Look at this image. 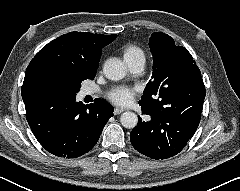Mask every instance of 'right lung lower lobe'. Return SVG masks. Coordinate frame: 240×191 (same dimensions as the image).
Wrapping results in <instances>:
<instances>
[{"mask_svg": "<svg viewBox=\"0 0 240 191\" xmlns=\"http://www.w3.org/2000/svg\"><path fill=\"white\" fill-rule=\"evenodd\" d=\"M28 124L42 147L61 158H77L97 143L113 107L102 99L84 105L75 98L23 96Z\"/></svg>", "mask_w": 240, "mask_h": 191, "instance_id": "1", "label": "right lung lower lobe"}]
</instances>
